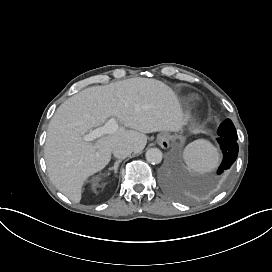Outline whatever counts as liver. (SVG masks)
<instances>
[{
    "instance_id": "obj_1",
    "label": "liver",
    "mask_w": 272,
    "mask_h": 272,
    "mask_svg": "<svg viewBox=\"0 0 272 272\" xmlns=\"http://www.w3.org/2000/svg\"><path fill=\"white\" fill-rule=\"evenodd\" d=\"M110 117L119 123L113 134L86 142L82 135ZM174 93L154 79L131 78L85 88L61 104L47 131L45 160L54 186L79 203L84 182L111 161L113 147L126 143L135 153L147 133L176 131L183 122Z\"/></svg>"
}]
</instances>
